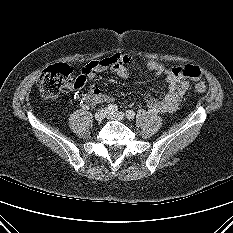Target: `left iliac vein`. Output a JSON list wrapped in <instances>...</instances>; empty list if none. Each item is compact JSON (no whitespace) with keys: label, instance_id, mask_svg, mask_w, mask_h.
Wrapping results in <instances>:
<instances>
[{"label":"left iliac vein","instance_id":"1","mask_svg":"<svg viewBox=\"0 0 233 233\" xmlns=\"http://www.w3.org/2000/svg\"><path fill=\"white\" fill-rule=\"evenodd\" d=\"M107 117L112 120L123 121L125 115L123 112L108 113Z\"/></svg>","mask_w":233,"mask_h":233}]
</instances>
